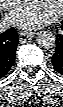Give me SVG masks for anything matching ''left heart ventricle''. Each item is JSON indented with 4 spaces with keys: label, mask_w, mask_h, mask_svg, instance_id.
<instances>
[{
    "label": "left heart ventricle",
    "mask_w": 63,
    "mask_h": 107,
    "mask_svg": "<svg viewBox=\"0 0 63 107\" xmlns=\"http://www.w3.org/2000/svg\"><path fill=\"white\" fill-rule=\"evenodd\" d=\"M42 1V2H40ZM39 3H41L50 13H54L58 6H59V1H53V0H40Z\"/></svg>",
    "instance_id": "1"
}]
</instances>
